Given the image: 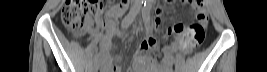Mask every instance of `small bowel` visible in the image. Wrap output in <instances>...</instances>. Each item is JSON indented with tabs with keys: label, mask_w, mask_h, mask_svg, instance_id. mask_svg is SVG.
I'll return each mask as SVG.
<instances>
[{
	"label": "small bowel",
	"mask_w": 267,
	"mask_h": 72,
	"mask_svg": "<svg viewBox=\"0 0 267 72\" xmlns=\"http://www.w3.org/2000/svg\"><path fill=\"white\" fill-rule=\"evenodd\" d=\"M127 9V3H122L113 8L112 14L118 15ZM159 14L162 13V9H158ZM203 12L207 14L206 9L203 4ZM200 16V13L198 14ZM108 20L101 19L97 22L96 27H89L88 32L99 41V55L101 58H106L111 50L110 43V33L111 30H107L105 27V22ZM157 22H160V18L157 19ZM183 26L182 23L178 22ZM177 24V23H176ZM175 26V24H174ZM174 26L169 30V34L176 35V39L171 46L167 48V53L161 61V64L158 65L157 62L148 56H144V53L150 48H156L155 39L152 37L144 39L139 45L137 52L135 53L133 59V68L130 71L135 72H167L172 68L174 63L173 53L178 50V47L183 42V37L179 35L175 30ZM142 64L144 67L137 68V65ZM106 71H113L112 67L109 65H104L103 67ZM115 70V68H114Z\"/></svg>",
	"instance_id": "1"
}]
</instances>
